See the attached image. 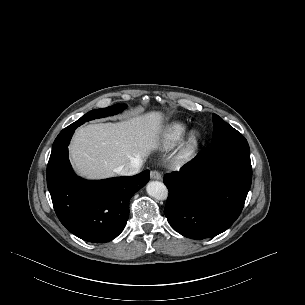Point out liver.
<instances>
[{"mask_svg": "<svg viewBox=\"0 0 305 305\" xmlns=\"http://www.w3.org/2000/svg\"><path fill=\"white\" fill-rule=\"evenodd\" d=\"M162 112L152 111L118 123L77 129L69 153L75 171L87 179L115 175V168L144 160L159 146Z\"/></svg>", "mask_w": 305, "mask_h": 305, "instance_id": "1", "label": "liver"}]
</instances>
